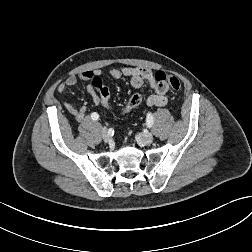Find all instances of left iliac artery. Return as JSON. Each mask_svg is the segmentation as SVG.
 Instances as JSON below:
<instances>
[{"instance_id": "1", "label": "left iliac artery", "mask_w": 252, "mask_h": 252, "mask_svg": "<svg viewBox=\"0 0 252 252\" xmlns=\"http://www.w3.org/2000/svg\"><path fill=\"white\" fill-rule=\"evenodd\" d=\"M153 122H154V120H153L152 114H151V113H148V114H147V118H146V124H147V126H148V127H152Z\"/></svg>"}]
</instances>
